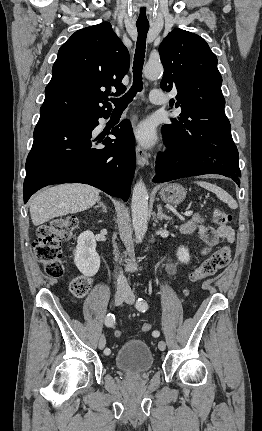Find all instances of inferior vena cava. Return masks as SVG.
Instances as JSON below:
<instances>
[{
	"mask_svg": "<svg viewBox=\"0 0 262 431\" xmlns=\"http://www.w3.org/2000/svg\"><path fill=\"white\" fill-rule=\"evenodd\" d=\"M117 289L119 291H129L130 290L128 282H127L126 278L123 276V274L118 275Z\"/></svg>",
	"mask_w": 262,
	"mask_h": 431,
	"instance_id": "602c4592",
	"label": "inferior vena cava"
}]
</instances>
